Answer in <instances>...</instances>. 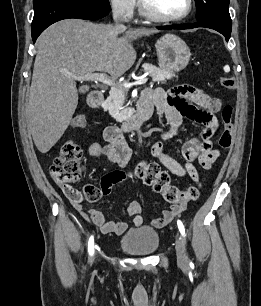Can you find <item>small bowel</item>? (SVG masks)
Returning <instances> with one entry per match:
<instances>
[{
    "instance_id": "obj_1",
    "label": "small bowel",
    "mask_w": 261,
    "mask_h": 306,
    "mask_svg": "<svg viewBox=\"0 0 261 306\" xmlns=\"http://www.w3.org/2000/svg\"><path fill=\"white\" fill-rule=\"evenodd\" d=\"M142 98L152 105L159 119L165 120L168 125V129L161 133V139L152 145V156L170 173L198 181L199 171L193 162L198 161L202 168L209 169L220 154L218 149L213 148L211 140L218 127L216 113L222 109L220 100L199 87L186 84L173 87L169 91L161 88L147 90ZM185 118L205 128L198 136L183 144L182 155L185 162L180 163L165 152V142L177 135ZM104 139L105 144L92 143L88 147V154L124 168L129 162L131 151L120 131L115 127H108L104 132ZM107 175L101 181L104 195L109 194L113 186L119 183L109 182ZM91 186H86L84 190ZM62 189L81 216L96 225L103 234L122 235L126 232L128 226L125 222L107 219L95 209H84L81 201L73 198L63 187ZM186 204L187 201H181L163 210L160 217L151 221V225L155 228L164 227L184 211ZM127 212L133 218L134 226L140 227L143 224L142 206L138 201L130 202Z\"/></svg>"
}]
</instances>
